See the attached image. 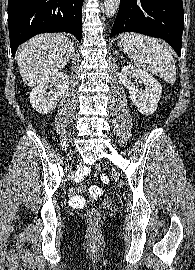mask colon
I'll return each instance as SVG.
<instances>
[{
    "label": "colon",
    "mask_w": 195,
    "mask_h": 270,
    "mask_svg": "<svg viewBox=\"0 0 195 270\" xmlns=\"http://www.w3.org/2000/svg\"><path fill=\"white\" fill-rule=\"evenodd\" d=\"M111 204H112V200L110 198H106L104 200V205L106 207L111 206ZM86 217H87L88 222L90 224H92V225H96L100 221V213L96 209H90V210H88L87 213H86Z\"/></svg>",
    "instance_id": "colon-1"
}]
</instances>
